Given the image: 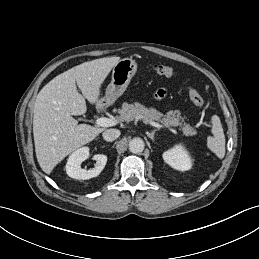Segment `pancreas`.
I'll return each mask as SVG.
<instances>
[{
    "label": "pancreas",
    "instance_id": "obj_1",
    "mask_svg": "<svg viewBox=\"0 0 259 259\" xmlns=\"http://www.w3.org/2000/svg\"><path fill=\"white\" fill-rule=\"evenodd\" d=\"M121 118L125 121H133L138 118H145L150 121L161 122L164 126H180L183 132L187 135L194 134V129L189 124H182L184 118L179 111H169L163 115L155 108H146L139 103L128 104L123 103L119 110Z\"/></svg>",
    "mask_w": 259,
    "mask_h": 259
}]
</instances>
